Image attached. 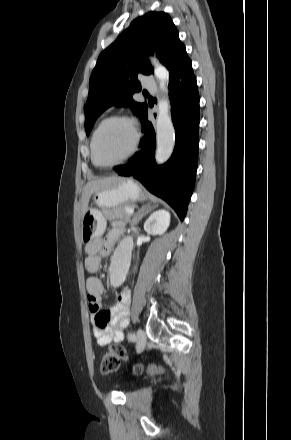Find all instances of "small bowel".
Here are the masks:
<instances>
[{
	"label": "small bowel",
	"mask_w": 291,
	"mask_h": 440,
	"mask_svg": "<svg viewBox=\"0 0 291 440\" xmlns=\"http://www.w3.org/2000/svg\"><path fill=\"white\" fill-rule=\"evenodd\" d=\"M124 234V228L120 224H114L111 230L104 236L95 239L87 245V257L85 259V267L89 272L95 273L100 268L101 259L109 255ZM86 290L89 300V312L95 325L94 337L99 346H106L111 342H118L122 339V328L128 321L131 292L124 287L117 296V304L109 310H102L100 307L101 295L103 292V284L96 276H90L86 279ZM104 316L110 318V325L101 324ZM160 366H155L159 369Z\"/></svg>",
	"instance_id": "small-bowel-1"
}]
</instances>
